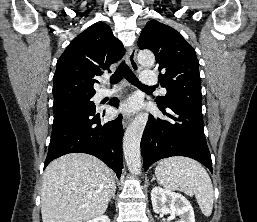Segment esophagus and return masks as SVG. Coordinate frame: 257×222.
Instances as JSON below:
<instances>
[{
    "instance_id": "34e87169",
    "label": "esophagus",
    "mask_w": 257,
    "mask_h": 222,
    "mask_svg": "<svg viewBox=\"0 0 257 222\" xmlns=\"http://www.w3.org/2000/svg\"><path fill=\"white\" fill-rule=\"evenodd\" d=\"M136 54H137V50L134 46L128 48L127 50V61L131 67V69L135 72H139L140 71V66L137 63L136 60ZM131 121V116L130 115H126L123 118V127H127V125L130 123Z\"/></svg>"
}]
</instances>
